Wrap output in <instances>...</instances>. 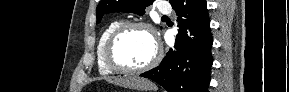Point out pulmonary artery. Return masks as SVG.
I'll return each mask as SVG.
<instances>
[{
    "label": "pulmonary artery",
    "instance_id": "obj_1",
    "mask_svg": "<svg viewBox=\"0 0 289 92\" xmlns=\"http://www.w3.org/2000/svg\"><path fill=\"white\" fill-rule=\"evenodd\" d=\"M158 10L160 13L162 14H169L171 13V8L169 5L165 4V3H162L158 6Z\"/></svg>",
    "mask_w": 289,
    "mask_h": 92
}]
</instances>
